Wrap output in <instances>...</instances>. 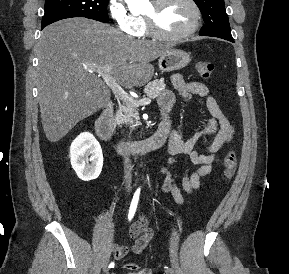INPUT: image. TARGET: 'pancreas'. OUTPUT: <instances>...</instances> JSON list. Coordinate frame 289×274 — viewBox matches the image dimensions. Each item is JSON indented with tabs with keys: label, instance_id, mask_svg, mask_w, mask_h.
<instances>
[{
	"label": "pancreas",
	"instance_id": "pancreas-1",
	"mask_svg": "<svg viewBox=\"0 0 289 274\" xmlns=\"http://www.w3.org/2000/svg\"><path fill=\"white\" fill-rule=\"evenodd\" d=\"M165 88L166 85L164 83V79H159L148 83L144 89V92L149 98H157L165 90ZM137 106L138 105L133 102L123 100V105L116 114V122L118 124L128 123L132 128L137 126V123L133 124L132 120L133 117L137 119Z\"/></svg>",
	"mask_w": 289,
	"mask_h": 274
}]
</instances>
